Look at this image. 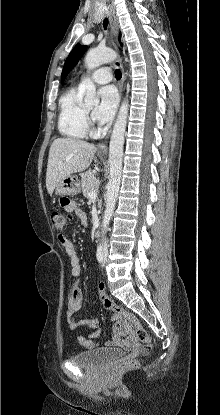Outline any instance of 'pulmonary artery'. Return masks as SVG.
Returning <instances> with one entry per match:
<instances>
[{
    "label": "pulmonary artery",
    "mask_w": 220,
    "mask_h": 415,
    "mask_svg": "<svg viewBox=\"0 0 220 415\" xmlns=\"http://www.w3.org/2000/svg\"><path fill=\"white\" fill-rule=\"evenodd\" d=\"M91 79L97 84H106L112 80V72L109 68L102 67L92 73Z\"/></svg>",
    "instance_id": "e3ab8cb5"
}]
</instances>
